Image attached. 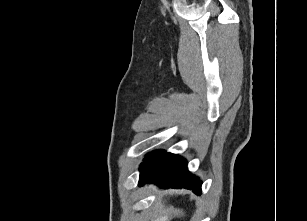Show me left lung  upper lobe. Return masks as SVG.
<instances>
[{
    "label": "left lung upper lobe",
    "instance_id": "1",
    "mask_svg": "<svg viewBox=\"0 0 307 221\" xmlns=\"http://www.w3.org/2000/svg\"><path fill=\"white\" fill-rule=\"evenodd\" d=\"M164 153L163 150H157L146 155V158L140 165V172L147 168L152 162L158 159Z\"/></svg>",
    "mask_w": 307,
    "mask_h": 221
}]
</instances>
